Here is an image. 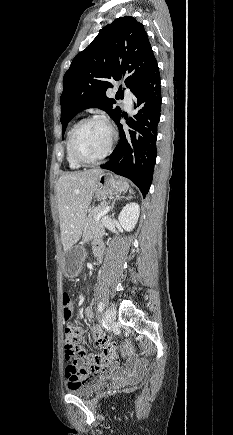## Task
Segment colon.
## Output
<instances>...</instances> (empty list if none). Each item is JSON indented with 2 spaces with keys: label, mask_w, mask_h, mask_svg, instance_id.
I'll return each instance as SVG.
<instances>
[{
  "label": "colon",
  "mask_w": 233,
  "mask_h": 435,
  "mask_svg": "<svg viewBox=\"0 0 233 435\" xmlns=\"http://www.w3.org/2000/svg\"><path fill=\"white\" fill-rule=\"evenodd\" d=\"M62 305H63V316L66 319H70L73 314L72 309V302L67 292L63 293L62 296ZM64 337H65V360L66 362L71 365L78 367L79 366V352L80 349L78 347V341H79V330L78 328L73 324H67L64 328ZM127 344H123L120 347H126ZM117 348V345L113 342H109L105 347L106 353L114 352ZM102 361L100 360L99 356L93 361L90 368L88 370L83 369V374H91L97 372L101 366ZM83 381L79 384H82Z\"/></svg>",
  "instance_id": "1"
}]
</instances>
